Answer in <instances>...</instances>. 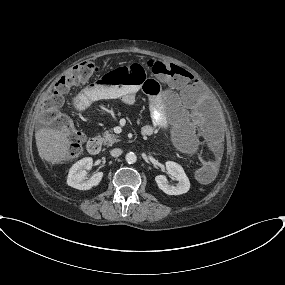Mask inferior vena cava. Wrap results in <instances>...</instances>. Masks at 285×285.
<instances>
[{"label":"inferior vena cava","instance_id":"obj_1","mask_svg":"<svg viewBox=\"0 0 285 285\" xmlns=\"http://www.w3.org/2000/svg\"><path fill=\"white\" fill-rule=\"evenodd\" d=\"M122 150L120 148H114L110 151L111 156L118 157L122 154Z\"/></svg>","mask_w":285,"mask_h":285}]
</instances>
